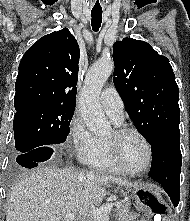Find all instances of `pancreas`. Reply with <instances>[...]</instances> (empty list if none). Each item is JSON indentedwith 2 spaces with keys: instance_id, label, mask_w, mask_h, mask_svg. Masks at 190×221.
I'll return each mask as SVG.
<instances>
[{
  "instance_id": "cf45deb5",
  "label": "pancreas",
  "mask_w": 190,
  "mask_h": 221,
  "mask_svg": "<svg viewBox=\"0 0 190 221\" xmlns=\"http://www.w3.org/2000/svg\"><path fill=\"white\" fill-rule=\"evenodd\" d=\"M116 215L122 221H134L135 216L130 213V202L121 201L120 206L115 210ZM89 221H102L101 218H91Z\"/></svg>"
}]
</instances>
